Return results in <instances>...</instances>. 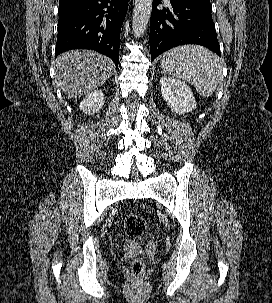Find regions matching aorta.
I'll return each mask as SVG.
<instances>
[{
	"instance_id": "762f6f07",
	"label": "aorta",
	"mask_w": 272,
	"mask_h": 303,
	"mask_svg": "<svg viewBox=\"0 0 272 303\" xmlns=\"http://www.w3.org/2000/svg\"><path fill=\"white\" fill-rule=\"evenodd\" d=\"M153 0H135L132 18V33L140 38L147 29L152 11Z\"/></svg>"
}]
</instances>
